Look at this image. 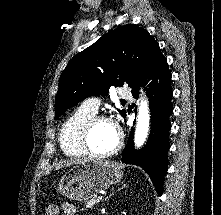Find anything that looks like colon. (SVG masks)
<instances>
[{
    "label": "colon",
    "mask_w": 221,
    "mask_h": 215,
    "mask_svg": "<svg viewBox=\"0 0 221 215\" xmlns=\"http://www.w3.org/2000/svg\"><path fill=\"white\" fill-rule=\"evenodd\" d=\"M45 213L46 215H56L57 207L54 204H48L45 207Z\"/></svg>",
    "instance_id": "colon-1"
}]
</instances>
